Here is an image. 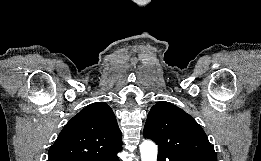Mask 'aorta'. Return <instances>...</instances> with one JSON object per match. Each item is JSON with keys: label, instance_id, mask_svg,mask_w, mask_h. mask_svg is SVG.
Returning a JSON list of instances; mask_svg holds the SVG:
<instances>
[{"label": "aorta", "instance_id": "aorta-1", "mask_svg": "<svg viewBox=\"0 0 261 161\" xmlns=\"http://www.w3.org/2000/svg\"><path fill=\"white\" fill-rule=\"evenodd\" d=\"M157 145L151 140H145L140 145L141 161H157Z\"/></svg>", "mask_w": 261, "mask_h": 161}]
</instances>
